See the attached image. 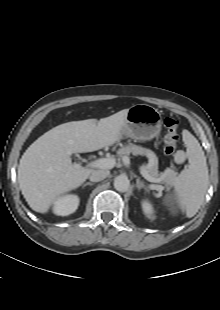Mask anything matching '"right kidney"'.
I'll list each match as a JSON object with an SVG mask.
<instances>
[{
  "instance_id": "ca27d5eb",
  "label": "right kidney",
  "mask_w": 220,
  "mask_h": 310,
  "mask_svg": "<svg viewBox=\"0 0 220 310\" xmlns=\"http://www.w3.org/2000/svg\"><path fill=\"white\" fill-rule=\"evenodd\" d=\"M79 205V197L74 194H67L59 197L53 206V212L59 216H67L76 211Z\"/></svg>"
}]
</instances>
